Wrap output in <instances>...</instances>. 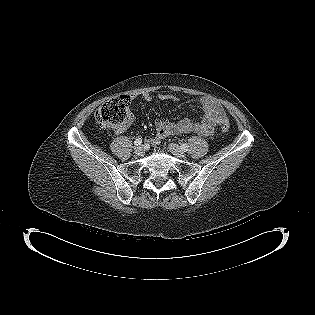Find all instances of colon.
I'll use <instances>...</instances> for the list:
<instances>
[{
    "label": "colon",
    "instance_id": "obj_1",
    "mask_svg": "<svg viewBox=\"0 0 315 315\" xmlns=\"http://www.w3.org/2000/svg\"><path fill=\"white\" fill-rule=\"evenodd\" d=\"M96 119L98 123L109 129L117 131L126 128L133 119L129 109V97L119 95L111 98L96 111ZM221 128L224 132H227L229 129L228 122H223Z\"/></svg>",
    "mask_w": 315,
    "mask_h": 315
}]
</instances>
